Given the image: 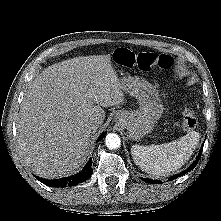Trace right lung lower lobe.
I'll list each match as a JSON object with an SVG mask.
<instances>
[{
    "instance_id": "right-lung-lower-lobe-1",
    "label": "right lung lower lobe",
    "mask_w": 221,
    "mask_h": 221,
    "mask_svg": "<svg viewBox=\"0 0 221 221\" xmlns=\"http://www.w3.org/2000/svg\"><path fill=\"white\" fill-rule=\"evenodd\" d=\"M105 136V133L101 135V137L98 139L101 140ZM92 161H89V163L86 165V167L82 170V172L70 176L67 178H61L56 180H46L39 177H36L38 181L42 182L43 184L50 186V187H65V186H72L75 184H78L80 182H83L90 178L92 174Z\"/></svg>"
}]
</instances>
